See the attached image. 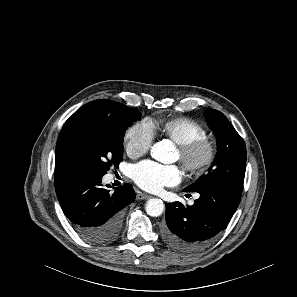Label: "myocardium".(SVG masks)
I'll return each mask as SVG.
<instances>
[{"label": "myocardium", "mask_w": 297, "mask_h": 297, "mask_svg": "<svg viewBox=\"0 0 297 297\" xmlns=\"http://www.w3.org/2000/svg\"><path fill=\"white\" fill-rule=\"evenodd\" d=\"M180 161L185 171L193 178L205 175L217 157V145L209 137L178 145Z\"/></svg>", "instance_id": "obj_1"}]
</instances>
